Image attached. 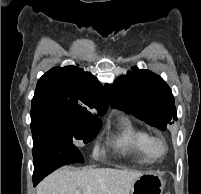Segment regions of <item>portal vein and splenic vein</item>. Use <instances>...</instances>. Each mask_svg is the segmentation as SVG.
Returning <instances> with one entry per match:
<instances>
[{
    "label": "portal vein and splenic vein",
    "instance_id": "1",
    "mask_svg": "<svg viewBox=\"0 0 201 194\" xmlns=\"http://www.w3.org/2000/svg\"><path fill=\"white\" fill-rule=\"evenodd\" d=\"M75 194H80V190H76Z\"/></svg>",
    "mask_w": 201,
    "mask_h": 194
}]
</instances>
